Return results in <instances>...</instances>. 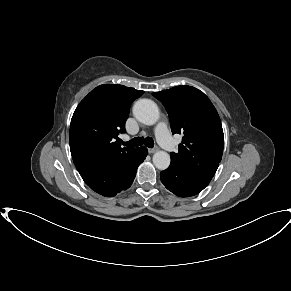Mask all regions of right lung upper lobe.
<instances>
[{
  "mask_svg": "<svg viewBox=\"0 0 291 291\" xmlns=\"http://www.w3.org/2000/svg\"><path fill=\"white\" fill-rule=\"evenodd\" d=\"M144 92L123 85L104 84L92 90L76 108L70 124L73 161L112 163L134 151L121 148L119 133L131 103Z\"/></svg>",
  "mask_w": 291,
  "mask_h": 291,
  "instance_id": "1",
  "label": "right lung upper lobe"
}]
</instances>
